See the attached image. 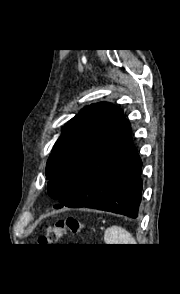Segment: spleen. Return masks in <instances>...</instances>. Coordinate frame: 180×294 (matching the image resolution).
I'll return each mask as SVG.
<instances>
[{
  "label": "spleen",
  "mask_w": 180,
  "mask_h": 294,
  "mask_svg": "<svg viewBox=\"0 0 180 294\" xmlns=\"http://www.w3.org/2000/svg\"><path fill=\"white\" fill-rule=\"evenodd\" d=\"M106 244H136L134 237L119 226L107 228L104 233Z\"/></svg>",
  "instance_id": "3e777b00"
}]
</instances>
